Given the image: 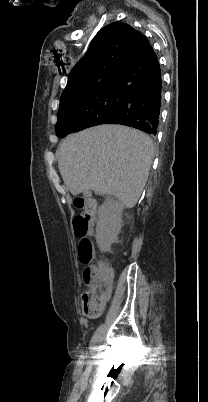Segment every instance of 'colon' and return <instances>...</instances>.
<instances>
[{"instance_id":"1","label":"colon","mask_w":208,"mask_h":402,"mask_svg":"<svg viewBox=\"0 0 208 402\" xmlns=\"http://www.w3.org/2000/svg\"><path fill=\"white\" fill-rule=\"evenodd\" d=\"M91 222L88 213L73 220L74 234L82 240L76 249V254L81 265H86L83 280L86 281L87 287L81 298L84 314H103L108 296L112 294L110 284L114 268L109 266L107 262L99 263L95 257L90 256L94 247L93 242L89 241L91 239L89 233Z\"/></svg>"}]
</instances>
